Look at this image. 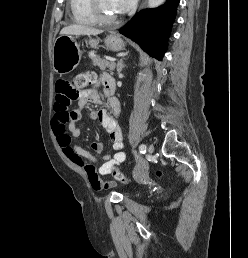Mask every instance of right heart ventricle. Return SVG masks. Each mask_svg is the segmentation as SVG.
<instances>
[{
    "label": "right heart ventricle",
    "instance_id": "obj_1",
    "mask_svg": "<svg viewBox=\"0 0 248 258\" xmlns=\"http://www.w3.org/2000/svg\"><path fill=\"white\" fill-rule=\"evenodd\" d=\"M69 6L74 22L82 25L96 23L90 10V0H69Z\"/></svg>",
    "mask_w": 248,
    "mask_h": 258
}]
</instances>
